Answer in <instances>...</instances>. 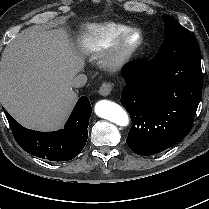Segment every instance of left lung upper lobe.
Returning a JSON list of instances; mask_svg holds the SVG:
<instances>
[{
    "instance_id": "5c2ea615",
    "label": "left lung upper lobe",
    "mask_w": 209,
    "mask_h": 209,
    "mask_svg": "<svg viewBox=\"0 0 209 209\" xmlns=\"http://www.w3.org/2000/svg\"><path fill=\"white\" fill-rule=\"evenodd\" d=\"M165 39L152 63L167 62L189 52L198 51L199 47L192 34L169 15L163 16Z\"/></svg>"
}]
</instances>
